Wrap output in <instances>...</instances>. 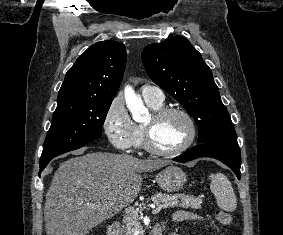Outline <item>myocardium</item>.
<instances>
[{"label":"myocardium","instance_id":"1","mask_svg":"<svg viewBox=\"0 0 283 235\" xmlns=\"http://www.w3.org/2000/svg\"><path fill=\"white\" fill-rule=\"evenodd\" d=\"M171 113L180 114L186 120L188 125V135L186 140L179 147L173 150H169V151L159 150L155 148L154 145L152 144L150 129L146 125H143L142 146L148 153L159 157H174L187 151L195 142L197 137V126L192 115L184 108L177 106L161 107L158 110L154 111L152 115V119L154 121H158Z\"/></svg>","mask_w":283,"mask_h":235}]
</instances>
